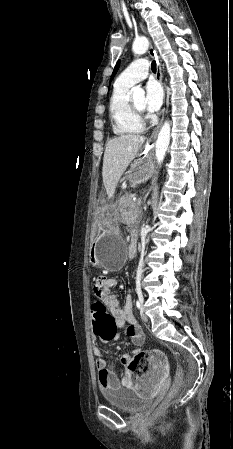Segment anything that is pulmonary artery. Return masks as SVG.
Masks as SVG:
<instances>
[{"instance_id": "e3ab8cb5", "label": "pulmonary artery", "mask_w": 233, "mask_h": 449, "mask_svg": "<svg viewBox=\"0 0 233 449\" xmlns=\"http://www.w3.org/2000/svg\"><path fill=\"white\" fill-rule=\"evenodd\" d=\"M148 70V62L145 59H137L118 76L116 83L130 87L145 79L148 75Z\"/></svg>"}]
</instances>
